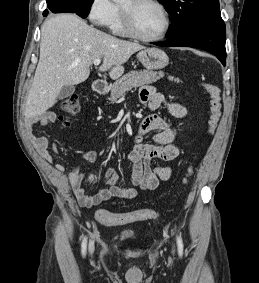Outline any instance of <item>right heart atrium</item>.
<instances>
[{
    "label": "right heart atrium",
    "mask_w": 259,
    "mask_h": 283,
    "mask_svg": "<svg viewBox=\"0 0 259 283\" xmlns=\"http://www.w3.org/2000/svg\"><path fill=\"white\" fill-rule=\"evenodd\" d=\"M115 11L111 0H91L88 18L97 27L108 25Z\"/></svg>",
    "instance_id": "1"
}]
</instances>
